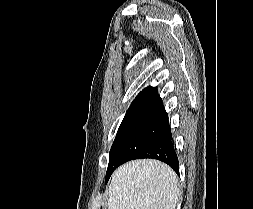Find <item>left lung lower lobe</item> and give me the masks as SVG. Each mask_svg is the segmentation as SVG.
I'll use <instances>...</instances> for the list:
<instances>
[{
	"label": "left lung lower lobe",
	"mask_w": 253,
	"mask_h": 209,
	"mask_svg": "<svg viewBox=\"0 0 253 209\" xmlns=\"http://www.w3.org/2000/svg\"><path fill=\"white\" fill-rule=\"evenodd\" d=\"M152 158L168 164L179 175V162L173 146L171 129L168 125L160 135L144 147L139 153L112 162L107 169L105 183L120 165L134 159Z\"/></svg>",
	"instance_id": "obj_1"
}]
</instances>
